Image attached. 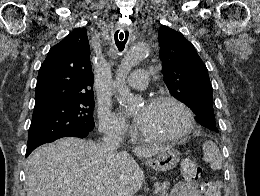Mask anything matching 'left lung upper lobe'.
Segmentation results:
<instances>
[{
  "mask_svg": "<svg viewBox=\"0 0 260 196\" xmlns=\"http://www.w3.org/2000/svg\"><path fill=\"white\" fill-rule=\"evenodd\" d=\"M164 81L173 97L194 112L213 110L208 71L194 46L180 33L162 25L158 31ZM218 133L216 123L205 126Z\"/></svg>",
  "mask_w": 260,
  "mask_h": 196,
  "instance_id": "5c2ea615",
  "label": "left lung upper lobe"
}]
</instances>
